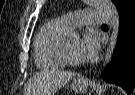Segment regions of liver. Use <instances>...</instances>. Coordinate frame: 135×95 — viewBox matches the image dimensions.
<instances>
[{"mask_svg": "<svg viewBox=\"0 0 135 95\" xmlns=\"http://www.w3.org/2000/svg\"><path fill=\"white\" fill-rule=\"evenodd\" d=\"M74 77L73 72L46 70L34 75L24 88L25 95H52Z\"/></svg>", "mask_w": 135, "mask_h": 95, "instance_id": "6515ba94", "label": "liver"}]
</instances>
